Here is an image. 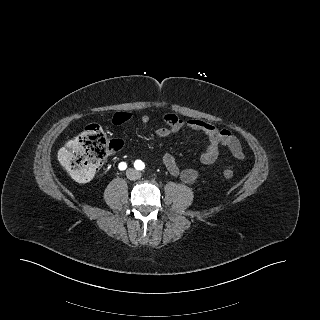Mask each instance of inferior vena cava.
<instances>
[{
  "label": "inferior vena cava",
  "instance_id": "inferior-vena-cava-1",
  "mask_svg": "<svg viewBox=\"0 0 320 320\" xmlns=\"http://www.w3.org/2000/svg\"><path fill=\"white\" fill-rule=\"evenodd\" d=\"M131 173H133V174H135V175H136V177H135V178L139 177V173H138L137 171L132 170V171H131Z\"/></svg>",
  "mask_w": 320,
  "mask_h": 320
}]
</instances>
